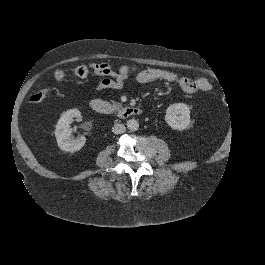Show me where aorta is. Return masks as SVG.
Here are the masks:
<instances>
[{
  "mask_svg": "<svg viewBox=\"0 0 265 265\" xmlns=\"http://www.w3.org/2000/svg\"><path fill=\"white\" fill-rule=\"evenodd\" d=\"M127 127L131 131H137L139 129V123L135 119H130L127 121Z\"/></svg>",
  "mask_w": 265,
  "mask_h": 265,
  "instance_id": "obj_1",
  "label": "aorta"
}]
</instances>
